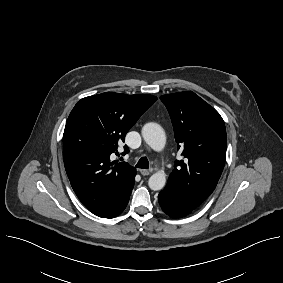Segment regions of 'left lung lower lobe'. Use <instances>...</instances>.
<instances>
[{
  "instance_id": "left-lung-lower-lobe-1",
  "label": "left lung lower lobe",
  "mask_w": 283,
  "mask_h": 283,
  "mask_svg": "<svg viewBox=\"0 0 283 283\" xmlns=\"http://www.w3.org/2000/svg\"><path fill=\"white\" fill-rule=\"evenodd\" d=\"M158 200L162 210L172 218L186 216L195 209L168 183L159 193Z\"/></svg>"
}]
</instances>
